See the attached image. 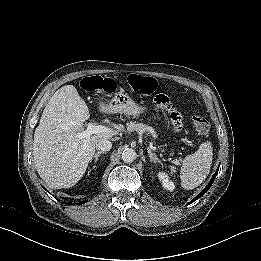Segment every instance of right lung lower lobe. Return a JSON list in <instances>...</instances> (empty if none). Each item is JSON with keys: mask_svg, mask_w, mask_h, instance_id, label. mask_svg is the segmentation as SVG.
<instances>
[{"mask_svg": "<svg viewBox=\"0 0 261 261\" xmlns=\"http://www.w3.org/2000/svg\"><path fill=\"white\" fill-rule=\"evenodd\" d=\"M86 202H87V201H85V202H81V203H79V205H80V204H84V203H86ZM70 204H72V203H70Z\"/></svg>", "mask_w": 261, "mask_h": 261, "instance_id": "98d812e1", "label": "right lung lower lobe"}]
</instances>
